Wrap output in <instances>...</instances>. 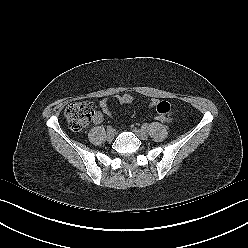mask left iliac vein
<instances>
[{
	"label": "left iliac vein",
	"instance_id": "1",
	"mask_svg": "<svg viewBox=\"0 0 248 248\" xmlns=\"http://www.w3.org/2000/svg\"><path fill=\"white\" fill-rule=\"evenodd\" d=\"M133 132L142 140H146L148 138V134L146 131L142 130V129H133Z\"/></svg>",
	"mask_w": 248,
	"mask_h": 248
}]
</instances>
